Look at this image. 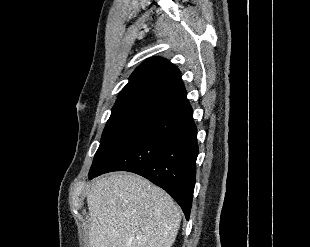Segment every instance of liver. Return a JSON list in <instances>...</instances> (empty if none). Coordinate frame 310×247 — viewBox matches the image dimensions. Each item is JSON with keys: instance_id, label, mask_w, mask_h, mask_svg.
Listing matches in <instances>:
<instances>
[{"instance_id": "liver-1", "label": "liver", "mask_w": 310, "mask_h": 247, "mask_svg": "<svg viewBox=\"0 0 310 247\" xmlns=\"http://www.w3.org/2000/svg\"><path fill=\"white\" fill-rule=\"evenodd\" d=\"M87 204L90 247H171L181 222L163 189L125 172L95 179Z\"/></svg>"}]
</instances>
